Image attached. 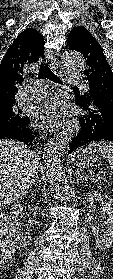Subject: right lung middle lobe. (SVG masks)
<instances>
[{
	"instance_id": "obj_1",
	"label": "right lung middle lobe",
	"mask_w": 113,
	"mask_h": 279,
	"mask_svg": "<svg viewBox=\"0 0 113 279\" xmlns=\"http://www.w3.org/2000/svg\"><path fill=\"white\" fill-rule=\"evenodd\" d=\"M26 117L22 114V110L18 109L15 104L0 108V127L10 125H18L25 121Z\"/></svg>"
}]
</instances>
